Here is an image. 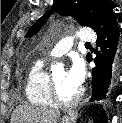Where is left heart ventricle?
Wrapping results in <instances>:
<instances>
[{
    "mask_svg": "<svg viewBox=\"0 0 122 123\" xmlns=\"http://www.w3.org/2000/svg\"><path fill=\"white\" fill-rule=\"evenodd\" d=\"M53 78L56 82L58 92L62 98L68 99L73 97L80 88L71 85L66 77L65 70H59L53 74Z\"/></svg>",
    "mask_w": 122,
    "mask_h": 123,
    "instance_id": "left-heart-ventricle-1",
    "label": "left heart ventricle"
}]
</instances>
